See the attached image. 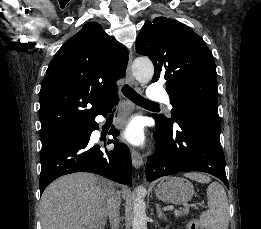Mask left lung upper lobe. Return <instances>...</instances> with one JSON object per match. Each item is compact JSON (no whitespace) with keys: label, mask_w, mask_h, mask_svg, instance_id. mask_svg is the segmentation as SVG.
<instances>
[{"label":"left lung upper lobe","mask_w":261,"mask_h":229,"mask_svg":"<svg viewBox=\"0 0 261 229\" xmlns=\"http://www.w3.org/2000/svg\"><path fill=\"white\" fill-rule=\"evenodd\" d=\"M136 50L154 64L152 82L165 79L173 106L172 119L158 117L172 127L189 111L218 115L216 68L203 39L188 26L166 17L146 21L136 40Z\"/></svg>","instance_id":"left-lung-upper-lobe-1"}]
</instances>
